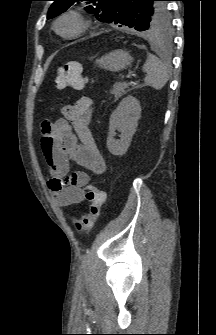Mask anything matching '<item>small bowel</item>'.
Wrapping results in <instances>:
<instances>
[{
	"label": "small bowel",
	"instance_id": "1",
	"mask_svg": "<svg viewBox=\"0 0 216 335\" xmlns=\"http://www.w3.org/2000/svg\"><path fill=\"white\" fill-rule=\"evenodd\" d=\"M60 113L62 118L41 124L40 146L50 173L48 188L56 204L63 207L82 202L85 186L91 180L86 172L69 173L70 161L74 160L95 175L103 174L106 164L89 128L92 99L80 96L73 104H65Z\"/></svg>",
	"mask_w": 216,
	"mask_h": 335
}]
</instances>
